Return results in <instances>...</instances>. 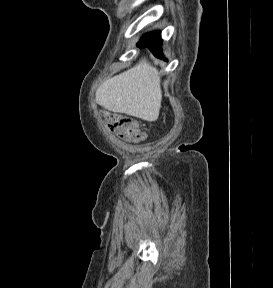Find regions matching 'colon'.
<instances>
[{"mask_svg": "<svg viewBox=\"0 0 273 288\" xmlns=\"http://www.w3.org/2000/svg\"><path fill=\"white\" fill-rule=\"evenodd\" d=\"M102 115L109 129L119 138L130 142L144 139L145 134L134 118L108 111L103 112Z\"/></svg>", "mask_w": 273, "mask_h": 288, "instance_id": "obj_1", "label": "colon"}]
</instances>
